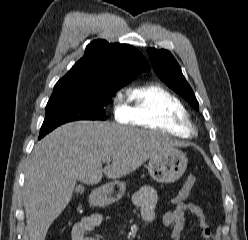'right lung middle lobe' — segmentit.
<instances>
[{
    "label": "right lung middle lobe",
    "mask_w": 248,
    "mask_h": 240,
    "mask_svg": "<svg viewBox=\"0 0 248 240\" xmlns=\"http://www.w3.org/2000/svg\"><path fill=\"white\" fill-rule=\"evenodd\" d=\"M117 88H63L54 90L46 105L40 133L76 120H106L104 106Z\"/></svg>",
    "instance_id": "dd1d6c3e"
}]
</instances>
